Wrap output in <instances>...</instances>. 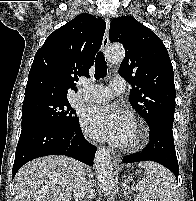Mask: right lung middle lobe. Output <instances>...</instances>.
I'll list each match as a JSON object with an SVG mask.
<instances>
[{
	"mask_svg": "<svg viewBox=\"0 0 196 201\" xmlns=\"http://www.w3.org/2000/svg\"><path fill=\"white\" fill-rule=\"evenodd\" d=\"M79 122L67 97L35 96L24 99L22 127L32 123L70 128Z\"/></svg>",
	"mask_w": 196,
	"mask_h": 201,
	"instance_id": "obj_1",
	"label": "right lung middle lobe"
}]
</instances>
